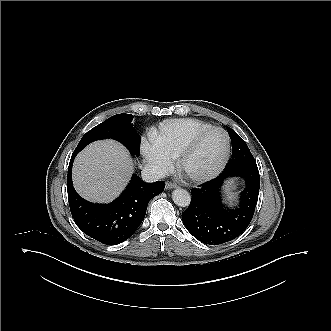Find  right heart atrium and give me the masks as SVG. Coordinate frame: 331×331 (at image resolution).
I'll list each match as a JSON object with an SVG mask.
<instances>
[{
	"mask_svg": "<svg viewBox=\"0 0 331 331\" xmlns=\"http://www.w3.org/2000/svg\"><path fill=\"white\" fill-rule=\"evenodd\" d=\"M141 152L145 161L154 169L155 172L165 174L172 168V156L153 143L143 140L141 144Z\"/></svg>",
	"mask_w": 331,
	"mask_h": 331,
	"instance_id": "d8ad5b80",
	"label": "right heart atrium"
}]
</instances>
